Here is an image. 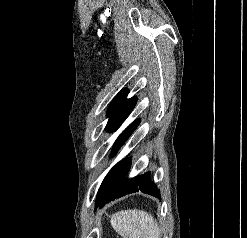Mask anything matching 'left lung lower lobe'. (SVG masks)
I'll use <instances>...</instances> for the list:
<instances>
[{
	"mask_svg": "<svg viewBox=\"0 0 247 238\" xmlns=\"http://www.w3.org/2000/svg\"><path fill=\"white\" fill-rule=\"evenodd\" d=\"M131 165L126 159L116 164L104 178L97 197V206L101 207L116 198L141 191L143 193L160 197V191L150 179V172L135 178H125Z\"/></svg>",
	"mask_w": 247,
	"mask_h": 238,
	"instance_id": "obj_1",
	"label": "left lung lower lobe"
}]
</instances>
